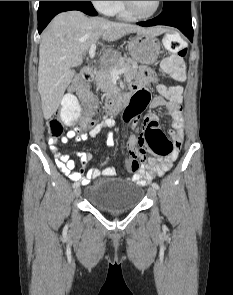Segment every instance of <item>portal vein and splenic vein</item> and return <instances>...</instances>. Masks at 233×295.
Here are the masks:
<instances>
[{
    "instance_id": "18ae733b",
    "label": "portal vein and splenic vein",
    "mask_w": 233,
    "mask_h": 295,
    "mask_svg": "<svg viewBox=\"0 0 233 295\" xmlns=\"http://www.w3.org/2000/svg\"><path fill=\"white\" fill-rule=\"evenodd\" d=\"M95 53H96V44H92L89 49V57L94 58ZM126 70H127L126 68H122L119 70L114 69L112 70L111 74L113 77H117L119 74L124 73Z\"/></svg>"
}]
</instances>
